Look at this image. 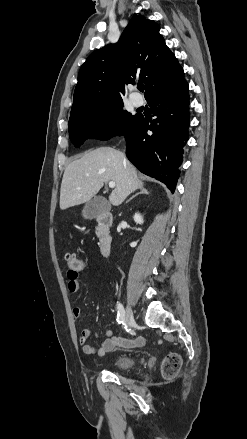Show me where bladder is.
<instances>
[{"instance_id":"bladder-1","label":"bladder","mask_w":247,"mask_h":439,"mask_svg":"<svg viewBox=\"0 0 247 439\" xmlns=\"http://www.w3.org/2000/svg\"><path fill=\"white\" fill-rule=\"evenodd\" d=\"M134 365L135 358L130 355H118L113 359L111 363V366L118 370H126L133 367Z\"/></svg>"}]
</instances>
